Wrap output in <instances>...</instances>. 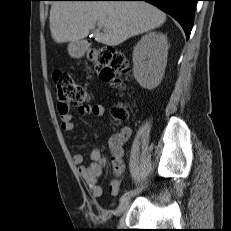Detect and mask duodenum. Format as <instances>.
Here are the masks:
<instances>
[{
    "label": "duodenum",
    "mask_w": 231,
    "mask_h": 231,
    "mask_svg": "<svg viewBox=\"0 0 231 231\" xmlns=\"http://www.w3.org/2000/svg\"><path fill=\"white\" fill-rule=\"evenodd\" d=\"M88 47L87 43H82L79 47L80 50H85Z\"/></svg>",
    "instance_id": "duodenum-1"
}]
</instances>
